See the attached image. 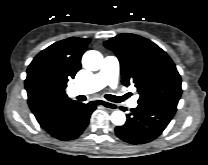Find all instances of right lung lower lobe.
Wrapping results in <instances>:
<instances>
[{
    "instance_id": "obj_1",
    "label": "right lung lower lobe",
    "mask_w": 208,
    "mask_h": 165,
    "mask_svg": "<svg viewBox=\"0 0 208 165\" xmlns=\"http://www.w3.org/2000/svg\"><path fill=\"white\" fill-rule=\"evenodd\" d=\"M95 109L93 101L87 104L72 101L38 122L51 136L59 140H72L83 133Z\"/></svg>"
}]
</instances>
